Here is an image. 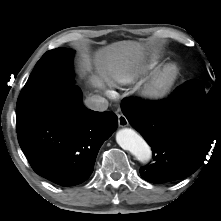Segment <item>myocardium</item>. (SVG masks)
<instances>
[{
    "label": "myocardium",
    "mask_w": 221,
    "mask_h": 221,
    "mask_svg": "<svg viewBox=\"0 0 221 221\" xmlns=\"http://www.w3.org/2000/svg\"><path fill=\"white\" fill-rule=\"evenodd\" d=\"M179 76L180 69L177 64L164 65L144 85L143 98L147 101H158L165 98L173 89Z\"/></svg>",
    "instance_id": "f54148a6"
}]
</instances>
